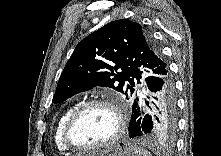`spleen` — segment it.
<instances>
[{"label": "spleen", "mask_w": 221, "mask_h": 156, "mask_svg": "<svg viewBox=\"0 0 221 156\" xmlns=\"http://www.w3.org/2000/svg\"><path fill=\"white\" fill-rule=\"evenodd\" d=\"M132 147L135 151V156H151L150 152L143 147L137 145H132Z\"/></svg>", "instance_id": "spleen-1"}]
</instances>
